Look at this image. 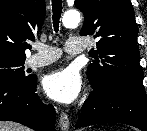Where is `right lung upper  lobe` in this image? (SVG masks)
<instances>
[{
  "mask_svg": "<svg viewBox=\"0 0 147 131\" xmlns=\"http://www.w3.org/2000/svg\"><path fill=\"white\" fill-rule=\"evenodd\" d=\"M44 18V0H0V57L26 58Z\"/></svg>",
  "mask_w": 147,
  "mask_h": 131,
  "instance_id": "obj_1",
  "label": "right lung upper lobe"
}]
</instances>
